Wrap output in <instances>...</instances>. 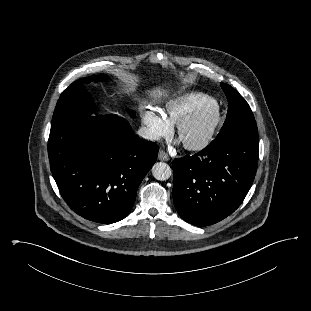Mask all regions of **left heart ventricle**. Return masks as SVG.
I'll return each mask as SVG.
<instances>
[{
    "instance_id": "b2bd125f",
    "label": "left heart ventricle",
    "mask_w": 311,
    "mask_h": 311,
    "mask_svg": "<svg viewBox=\"0 0 311 311\" xmlns=\"http://www.w3.org/2000/svg\"><path fill=\"white\" fill-rule=\"evenodd\" d=\"M210 122V113L202 115L183 131L180 140L186 143H194L200 141L205 136Z\"/></svg>"
}]
</instances>
